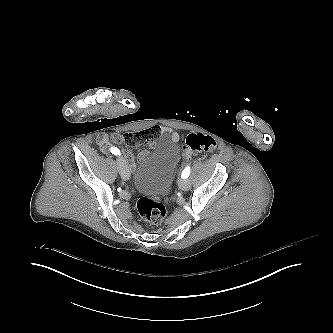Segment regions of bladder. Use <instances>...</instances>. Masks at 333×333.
Masks as SVG:
<instances>
[{
	"mask_svg": "<svg viewBox=\"0 0 333 333\" xmlns=\"http://www.w3.org/2000/svg\"><path fill=\"white\" fill-rule=\"evenodd\" d=\"M179 146L165 139L158 143L139 168L133 188L148 197H161L171 190L174 174L179 165Z\"/></svg>",
	"mask_w": 333,
	"mask_h": 333,
	"instance_id": "bladder-1",
	"label": "bladder"
}]
</instances>
